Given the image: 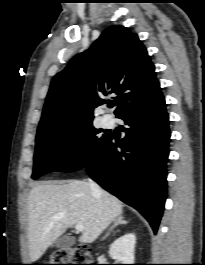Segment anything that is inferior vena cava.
<instances>
[{"label":"inferior vena cava","mask_w":205,"mask_h":265,"mask_svg":"<svg viewBox=\"0 0 205 265\" xmlns=\"http://www.w3.org/2000/svg\"><path fill=\"white\" fill-rule=\"evenodd\" d=\"M89 184H90V187H91V190L94 194L100 196L101 195V189L100 187L95 183L93 182L91 179H89ZM100 202V200H99Z\"/></svg>","instance_id":"1"}]
</instances>
